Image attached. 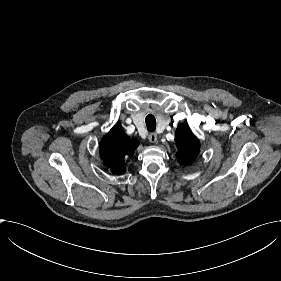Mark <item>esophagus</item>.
Wrapping results in <instances>:
<instances>
[{"mask_svg": "<svg viewBox=\"0 0 281 281\" xmlns=\"http://www.w3.org/2000/svg\"><path fill=\"white\" fill-rule=\"evenodd\" d=\"M148 139L151 143H156L157 142V134L156 133H150L148 135Z\"/></svg>", "mask_w": 281, "mask_h": 281, "instance_id": "esophagus-1", "label": "esophagus"}]
</instances>
